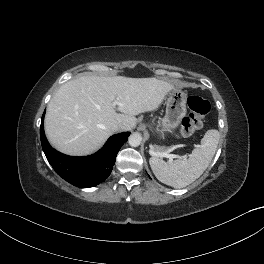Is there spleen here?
Instances as JSON below:
<instances>
[{
    "label": "spleen",
    "mask_w": 264,
    "mask_h": 264,
    "mask_svg": "<svg viewBox=\"0 0 264 264\" xmlns=\"http://www.w3.org/2000/svg\"><path fill=\"white\" fill-rule=\"evenodd\" d=\"M220 134L218 130H208L201 139V145L188 156L174 162H165L158 157L149 160L156 178L174 188H183L198 179L207 169L215 155Z\"/></svg>",
    "instance_id": "3e777b00"
}]
</instances>
